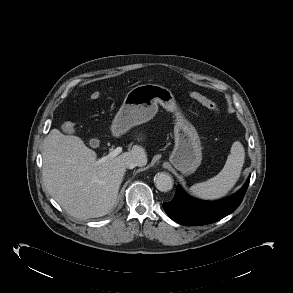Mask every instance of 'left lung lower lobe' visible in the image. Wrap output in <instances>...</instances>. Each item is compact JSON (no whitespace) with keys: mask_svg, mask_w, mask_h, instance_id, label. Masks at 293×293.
<instances>
[{"mask_svg":"<svg viewBox=\"0 0 293 293\" xmlns=\"http://www.w3.org/2000/svg\"><path fill=\"white\" fill-rule=\"evenodd\" d=\"M249 180L250 177L238 192L216 202H203L193 199L185 194L179 186L173 200L163 203V208L172 220L183 225L210 224L224 218L237 209L246 193Z\"/></svg>","mask_w":293,"mask_h":293,"instance_id":"left-lung-lower-lobe-1","label":"left lung lower lobe"}]
</instances>
